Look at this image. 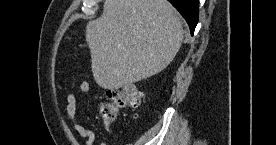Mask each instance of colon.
Wrapping results in <instances>:
<instances>
[{"label":"colon","mask_w":276,"mask_h":145,"mask_svg":"<svg viewBox=\"0 0 276 145\" xmlns=\"http://www.w3.org/2000/svg\"><path fill=\"white\" fill-rule=\"evenodd\" d=\"M100 103V114L107 120H114L121 108H138L144 101V94L133 84L109 88Z\"/></svg>","instance_id":"colon-1"}]
</instances>
